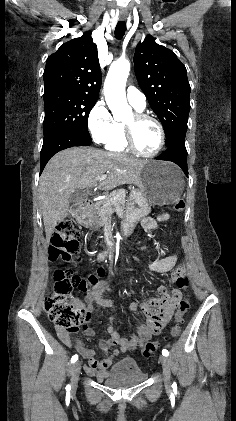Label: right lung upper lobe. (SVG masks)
Here are the masks:
<instances>
[{"label":"right lung upper lobe","mask_w":236,"mask_h":421,"mask_svg":"<svg viewBox=\"0 0 236 421\" xmlns=\"http://www.w3.org/2000/svg\"><path fill=\"white\" fill-rule=\"evenodd\" d=\"M43 78L45 91L61 90L98 98L102 77L97 46L90 32L64 43L50 55Z\"/></svg>","instance_id":"obj_1"}]
</instances>
